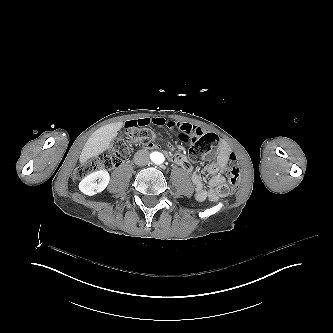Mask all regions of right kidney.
<instances>
[{
    "label": "right kidney",
    "instance_id": "right-kidney-1",
    "mask_svg": "<svg viewBox=\"0 0 333 333\" xmlns=\"http://www.w3.org/2000/svg\"><path fill=\"white\" fill-rule=\"evenodd\" d=\"M97 180H99L98 183L96 182ZM109 181L110 176L106 170L96 171L81 180L79 190L88 196H93L102 192L107 187Z\"/></svg>",
    "mask_w": 333,
    "mask_h": 333
}]
</instances>
